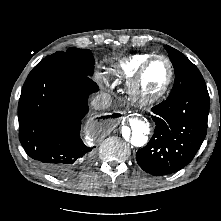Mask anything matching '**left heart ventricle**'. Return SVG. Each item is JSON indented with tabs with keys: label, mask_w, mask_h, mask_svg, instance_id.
<instances>
[{
	"label": "left heart ventricle",
	"mask_w": 221,
	"mask_h": 221,
	"mask_svg": "<svg viewBox=\"0 0 221 221\" xmlns=\"http://www.w3.org/2000/svg\"><path fill=\"white\" fill-rule=\"evenodd\" d=\"M169 76L168 64L162 60H155L146 70L140 85L145 94H154L166 84Z\"/></svg>",
	"instance_id": "1"
}]
</instances>
